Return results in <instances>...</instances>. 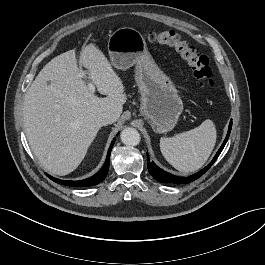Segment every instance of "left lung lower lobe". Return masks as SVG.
Wrapping results in <instances>:
<instances>
[{"label":"left lung lower lobe","mask_w":265,"mask_h":265,"mask_svg":"<svg viewBox=\"0 0 265 265\" xmlns=\"http://www.w3.org/2000/svg\"><path fill=\"white\" fill-rule=\"evenodd\" d=\"M231 128H232V120L230 121L226 138H225L223 144L221 145L220 149L218 150V152L214 156L213 160L208 164V166H206L204 169H202L198 173L193 174L189 177H178V176H174L168 172H165L164 170L159 168L154 162H150V161L147 162V167H148L149 173L157 181H160L163 183L184 184V183H189V182H192V181L198 179L201 175H203L212 166V164L216 161V159L218 158V156L222 152V150H223L224 146L226 145V142L229 138Z\"/></svg>","instance_id":"1"}]
</instances>
